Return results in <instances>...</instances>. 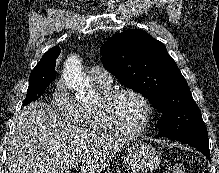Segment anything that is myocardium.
<instances>
[{"mask_svg": "<svg viewBox=\"0 0 219 173\" xmlns=\"http://www.w3.org/2000/svg\"><path fill=\"white\" fill-rule=\"evenodd\" d=\"M123 94H131L136 96L142 102L145 108V116L141 127L133 131L122 129L116 123L113 117V104ZM99 110L103 121L111 130V132L126 138H135L144 134L148 130L153 118V106L149 99L142 92L131 87H120L112 89L110 92L100 98Z\"/></svg>", "mask_w": 219, "mask_h": 173, "instance_id": "1", "label": "myocardium"}]
</instances>
